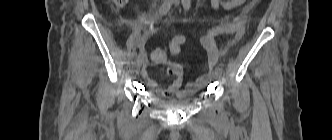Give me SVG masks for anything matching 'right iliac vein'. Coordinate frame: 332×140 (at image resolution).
<instances>
[{"label":"right iliac vein","instance_id":"1","mask_svg":"<svg viewBox=\"0 0 332 140\" xmlns=\"http://www.w3.org/2000/svg\"><path fill=\"white\" fill-rule=\"evenodd\" d=\"M165 1H167V0H164V2H165ZM142 61H143L142 58H138V59L136 60V62H135V64H134V68H135L136 70H138V69L140 68V66H141V64H142Z\"/></svg>","mask_w":332,"mask_h":140}]
</instances>
